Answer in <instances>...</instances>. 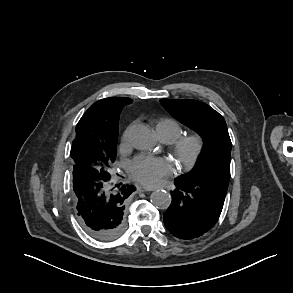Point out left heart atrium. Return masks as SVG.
Instances as JSON below:
<instances>
[{
    "label": "left heart atrium",
    "mask_w": 293,
    "mask_h": 293,
    "mask_svg": "<svg viewBox=\"0 0 293 293\" xmlns=\"http://www.w3.org/2000/svg\"><path fill=\"white\" fill-rule=\"evenodd\" d=\"M129 172L135 180L155 185L171 174L172 165L164 158L138 156L129 162Z\"/></svg>",
    "instance_id": "39dd6f15"
}]
</instances>
